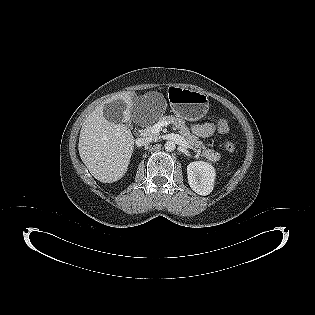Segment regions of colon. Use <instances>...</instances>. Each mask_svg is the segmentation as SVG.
Wrapping results in <instances>:
<instances>
[{
    "mask_svg": "<svg viewBox=\"0 0 315 315\" xmlns=\"http://www.w3.org/2000/svg\"><path fill=\"white\" fill-rule=\"evenodd\" d=\"M217 128H218L219 132L227 133L230 129L229 122L225 119H222L217 123ZM225 148L229 152H234L236 149V146L232 142H227L225 145Z\"/></svg>",
    "mask_w": 315,
    "mask_h": 315,
    "instance_id": "1",
    "label": "colon"
}]
</instances>
